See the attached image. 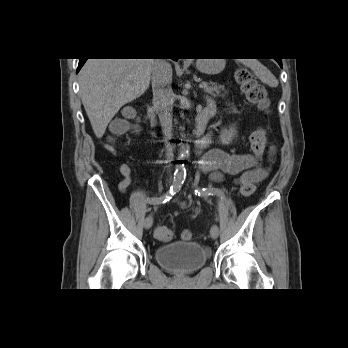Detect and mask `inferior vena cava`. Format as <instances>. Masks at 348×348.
I'll list each match as a JSON object with an SVG mask.
<instances>
[{
  "label": "inferior vena cava",
  "mask_w": 348,
  "mask_h": 348,
  "mask_svg": "<svg viewBox=\"0 0 348 348\" xmlns=\"http://www.w3.org/2000/svg\"><path fill=\"white\" fill-rule=\"evenodd\" d=\"M153 104L157 110L158 118L165 135V150L167 159L173 158V146L169 140L172 138V111L175 95L173 93L172 68L164 59H155L152 66Z\"/></svg>",
  "instance_id": "inferior-vena-cava-1"
}]
</instances>
